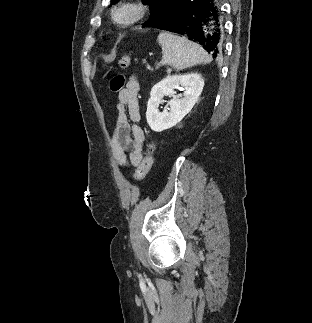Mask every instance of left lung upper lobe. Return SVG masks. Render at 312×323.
Wrapping results in <instances>:
<instances>
[{
  "label": "left lung upper lobe",
  "instance_id": "left-lung-upper-lobe-1",
  "mask_svg": "<svg viewBox=\"0 0 312 323\" xmlns=\"http://www.w3.org/2000/svg\"><path fill=\"white\" fill-rule=\"evenodd\" d=\"M119 0H111L112 4L117 3ZM144 4L149 5L151 8L150 18L143 23L142 27H157L163 20L166 19L170 13L171 5L176 0H142Z\"/></svg>",
  "mask_w": 312,
  "mask_h": 323
}]
</instances>
